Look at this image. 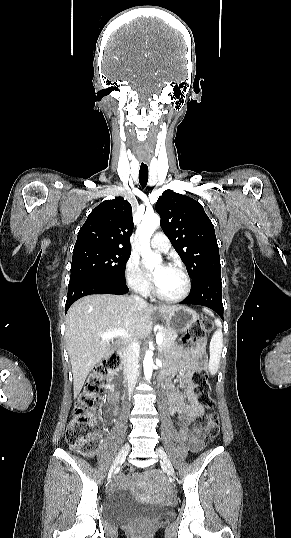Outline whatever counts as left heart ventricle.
Here are the masks:
<instances>
[{
  "instance_id": "b2bd125f",
  "label": "left heart ventricle",
  "mask_w": 291,
  "mask_h": 538,
  "mask_svg": "<svg viewBox=\"0 0 291 538\" xmlns=\"http://www.w3.org/2000/svg\"><path fill=\"white\" fill-rule=\"evenodd\" d=\"M153 274L156 275L155 284L163 295L175 297L184 291V277L177 270L158 265L155 267Z\"/></svg>"
}]
</instances>
